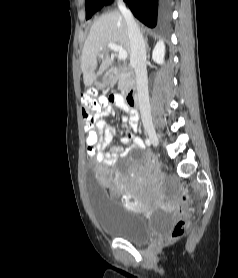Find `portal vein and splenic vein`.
<instances>
[{
  "label": "portal vein and splenic vein",
  "mask_w": 238,
  "mask_h": 278,
  "mask_svg": "<svg viewBox=\"0 0 238 278\" xmlns=\"http://www.w3.org/2000/svg\"><path fill=\"white\" fill-rule=\"evenodd\" d=\"M108 48L112 51L118 52V58L120 60H125L128 56L127 51L124 50L121 46L115 44V43H108Z\"/></svg>",
  "instance_id": "obj_1"
}]
</instances>
